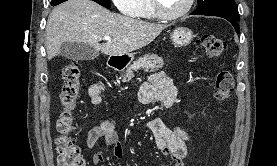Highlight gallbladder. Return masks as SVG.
Wrapping results in <instances>:
<instances>
[{
    "instance_id": "gallbladder-1",
    "label": "gallbladder",
    "mask_w": 277,
    "mask_h": 166,
    "mask_svg": "<svg viewBox=\"0 0 277 166\" xmlns=\"http://www.w3.org/2000/svg\"><path fill=\"white\" fill-rule=\"evenodd\" d=\"M61 55L74 60H93L99 56L90 45L76 42H65L61 45Z\"/></svg>"
}]
</instances>
